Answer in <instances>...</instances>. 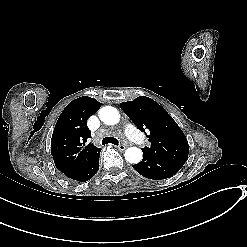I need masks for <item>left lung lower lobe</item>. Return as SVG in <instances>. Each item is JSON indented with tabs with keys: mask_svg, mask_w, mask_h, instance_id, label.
<instances>
[{
	"mask_svg": "<svg viewBox=\"0 0 247 247\" xmlns=\"http://www.w3.org/2000/svg\"><path fill=\"white\" fill-rule=\"evenodd\" d=\"M182 166L175 164L163 157L143 152V159L140 163L133 165V168L142 176L161 180L176 174Z\"/></svg>",
	"mask_w": 247,
	"mask_h": 247,
	"instance_id": "obj_1",
	"label": "left lung lower lobe"
}]
</instances>
